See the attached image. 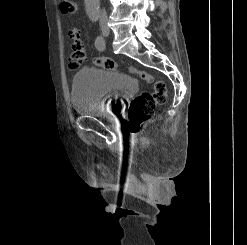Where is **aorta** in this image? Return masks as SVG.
<instances>
[{
  "instance_id": "762f6f07",
  "label": "aorta",
  "mask_w": 247,
  "mask_h": 245,
  "mask_svg": "<svg viewBox=\"0 0 247 245\" xmlns=\"http://www.w3.org/2000/svg\"><path fill=\"white\" fill-rule=\"evenodd\" d=\"M85 8L92 21H96L99 18V0H85Z\"/></svg>"
}]
</instances>
